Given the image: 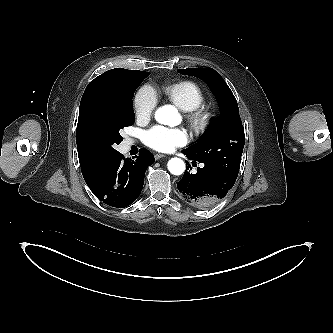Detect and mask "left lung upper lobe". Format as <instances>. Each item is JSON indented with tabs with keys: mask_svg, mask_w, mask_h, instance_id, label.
I'll return each mask as SVG.
<instances>
[{
	"mask_svg": "<svg viewBox=\"0 0 333 333\" xmlns=\"http://www.w3.org/2000/svg\"><path fill=\"white\" fill-rule=\"evenodd\" d=\"M178 72L205 81L216 95L222 110V118L214 120L213 128L206 136L184 150L195 160L213 167L227 178L236 181L245 136L237 101L232 91L212 68H188L180 69Z\"/></svg>",
	"mask_w": 333,
	"mask_h": 333,
	"instance_id": "1",
	"label": "left lung upper lobe"
}]
</instances>
